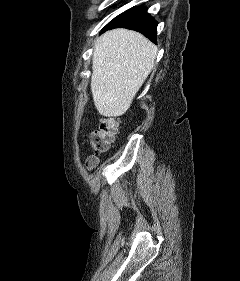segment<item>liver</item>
I'll list each match as a JSON object with an SVG mask.
<instances>
[{"mask_svg": "<svg viewBox=\"0 0 240 281\" xmlns=\"http://www.w3.org/2000/svg\"><path fill=\"white\" fill-rule=\"evenodd\" d=\"M157 47L142 34L114 29L97 38L92 58L91 92L105 117L126 113L154 67Z\"/></svg>", "mask_w": 240, "mask_h": 281, "instance_id": "obj_1", "label": "liver"}]
</instances>
